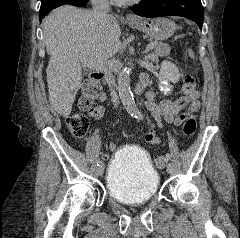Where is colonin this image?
I'll list each match as a JSON object with an SVG mask.
<instances>
[{"label":"colon","mask_w":240,"mask_h":238,"mask_svg":"<svg viewBox=\"0 0 240 238\" xmlns=\"http://www.w3.org/2000/svg\"><path fill=\"white\" fill-rule=\"evenodd\" d=\"M101 79V74L95 72L85 80L82 94L79 99V105L82 109L88 110L97 104L98 98L101 94ZM182 89L185 95H191L195 91V78L193 75L186 74L184 76ZM66 125L73 136L81 138L87 133L89 119L85 114L75 112L67 117ZM182 131L185 136H192L195 133V117H188L185 119ZM166 163L167 161L163 156H158L155 159V165L158 169H163Z\"/></svg>","instance_id":"obj_1"}]
</instances>
